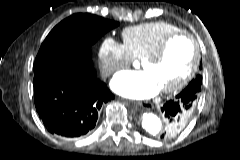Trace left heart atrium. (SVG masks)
I'll use <instances>...</instances> for the list:
<instances>
[{"label": "left heart atrium", "mask_w": 240, "mask_h": 160, "mask_svg": "<svg viewBox=\"0 0 240 160\" xmlns=\"http://www.w3.org/2000/svg\"><path fill=\"white\" fill-rule=\"evenodd\" d=\"M111 88L122 96L134 99L151 98L160 90L157 81L145 70L119 72L112 79Z\"/></svg>", "instance_id": "1"}]
</instances>
